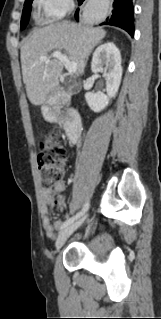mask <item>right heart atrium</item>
I'll return each instance as SVG.
<instances>
[{
    "label": "right heart atrium",
    "instance_id": "obj_1",
    "mask_svg": "<svg viewBox=\"0 0 161 319\" xmlns=\"http://www.w3.org/2000/svg\"><path fill=\"white\" fill-rule=\"evenodd\" d=\"M48 22L63 18L72 8L73 0H35Z\"/></svg>",
    "mask_w": 161,
    "mask_h": 319
}]
</instances>
